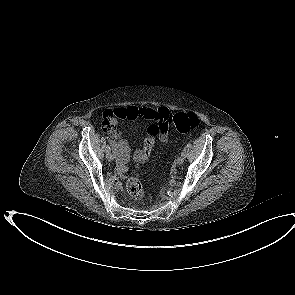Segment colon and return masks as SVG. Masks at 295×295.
Returning a JSON list of instances; mask_svg holds the SVG:
<instances>
[{
  "mask_svg": "<svg viewBox=\"0 0 295 295\" xmlns=\"http://www.w3.org/2000/svg\"><path fill=\"white\" fill-rule=\"evenodd\" d=\"M112 114H108L107 124L110 122ZM200 124L198 116L194 113H177L174 115L169 114L158 124L150 126L149 132L153 136H156L165 132L178 131L181 133H187L196 129ZM151 154V151H150ZM147 160L148 158H143ZM127 192L130 197L136 201L144 198V189L140 180L135 176H131L126 183Z\"/></svg>",
  "mask_w": 295,
  "mask_h": 295,
  "instance_id": "1",
  "label": "colon"
}]
</instances>
